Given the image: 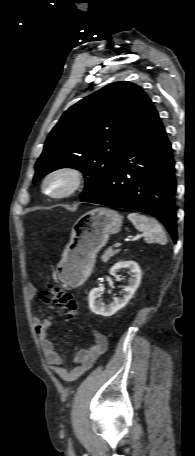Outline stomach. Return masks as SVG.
I'll use <instances>...</instances> for the list:
<instances>
[{
	"instance_id": "stomach-1",
	"label": "stomach",
	"mask_w": 195,
	"mask_h": 456,
	"mask_svg": "<svg viewBox=\"0 0 195 456\" xmlns=\"http://www.w3.org/2000/svg\"><path fill=\"white\" fill-rule=\"evenodd\" d=\"M121 225L122 216L109 208H96L80 216L58 265L59 278L70 286L81 285L93 270L96 254Z\"/></svg>"
}]
</instances>
